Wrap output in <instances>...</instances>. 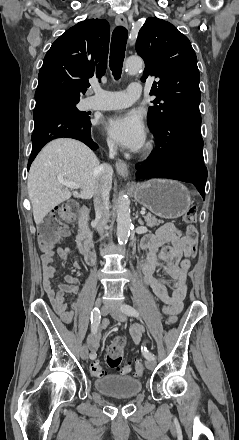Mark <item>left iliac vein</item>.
Masks as SVG:
<instances>
[{
  "instance_id": "left-iliac-vein-1",
  "label": "left iliac vein",
  "mask_w": 239,
  "mask_h": 440,
  "mask_svg": "<svg viewBox=\"0 0 239 440\" xmlns=\"http://www.w3.org/2000/svg\"><path fill=\"white\" fill-rule=\"evenodd\" d=\"M109 313L115 320L124 322L127 319L125 313L118 307L110 308ZM146 367L150 370H153L156 367V361L154 359L147 360Z\"/></svg>"
}]
</instances>
